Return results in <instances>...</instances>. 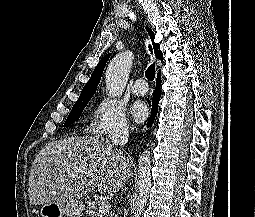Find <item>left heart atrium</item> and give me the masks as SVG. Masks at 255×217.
<instances>
[{
    "mask_svg": "<svg viewBox=\"0 0 255 217\" xmlns=\"http://www.w3.org/2000/svg\"><path fill=\"white\" fill-rule=\"evenodd\" d=\"M131 114L136 122H142L148 115V108L143 102L136 101L131 107Z\"/></svg>",
    "mask_w": 255,
    "mask_h": 217,
    "instance_id": "39dd6f15",
    "label": "left heart atrium"
}]
</instances>
